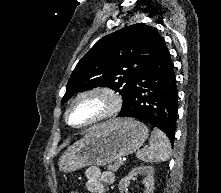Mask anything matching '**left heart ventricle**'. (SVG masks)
I'll use <instances>...</instances> for the list:
<instances>
[{"mask_svg":"<svg viewBox=\"0 0 221 193\" xmlns=\"http://www.w3.org/2000/svg\"><path fill=\"white\" fill-rule=\"evenodd\" d=\"M98 110V102L95 100H83L73 109L71 122L78 124L89 119Z\"/></svg>","mask_w":221,"mask_h":193,"instance_id":"b2bd125f","label":"left heart ventricle"}]
</instances>
